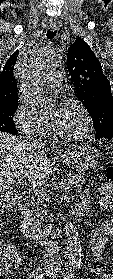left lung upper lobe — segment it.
Instances as JSON below:
<instances>
[{"label":"left lung upper lobe","instance_id":"1","mask_svg":"<svg viewBox=\"0 0 113 279\" xmlns=\"http://www.w3.org/2000/svg\"><path fill=\"white\" fill-rule=\"evenodd\" d=\"M67 60L76 96L89 112L96 136L113 133V97L100 61L81 38L70 45Z\"/></svg>","mask_w":113,"mask_h":279}]
</instances>
